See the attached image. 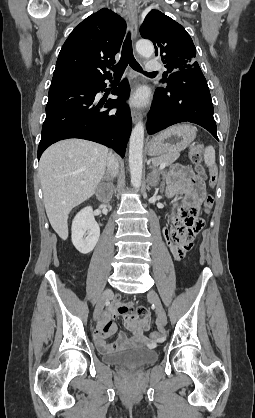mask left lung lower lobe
Segmentation results:
<instances>
[{
  "instance_id": "obj_1",
  "label": "left lung lower lobe",
  "mask_w": 255,
  "mask_h": 418,
  "mask_svg": "<svg viewBox=\"0 0 255 418\" xmlns=\"http://www.w3.org/2000/svg\"><path fill=\"white\" fill-rule=\"evenodd\" d=\"M213 112L209 88L200 67L176 71L167 84L155 92L147 131L154 134L176 123L192 122L218 140Z\"/></svg>"
}]
</instances>
